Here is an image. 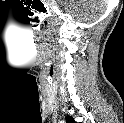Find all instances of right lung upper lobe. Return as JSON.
<instances>
[{
  "mask_svg": "<svg viewBox=\"0 0 124 123\" xmlns=\"http://www.w3.org/2000/svg\"><path fill=\"white\" fill-rule=\"evenodd\" d=\"M66 123H75V121L71 116H67L66 117Z\"/></svg>",
  "mask_w": 124,
  "mask_h": 123,
  "instance_id": "right-lung-upper-lobe-1",
  "label": "right lung upper lobe"
}]
</instances>
